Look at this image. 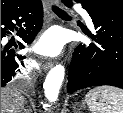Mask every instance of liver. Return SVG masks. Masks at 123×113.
<instances>
[{"instance_id":"6515ba94","label":"liver","mask_w":123,"mask_h":113,"mask_svg":"<svg viewBox=\"0 0 123 113\" xmlns=\"http://www.w3.org/2000/svg\"><path fill=\"white\" fill-rule=\"evenodd\" d=\"M26 100L15 88L1 89V113H23Z\"/></svg>"}]
</instances>
